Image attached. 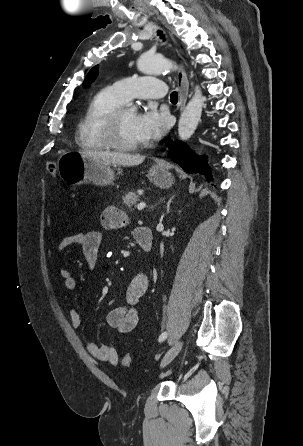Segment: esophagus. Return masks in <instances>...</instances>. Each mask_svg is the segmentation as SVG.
<instances>
[{"label":"esophagus","instance_id":"esophagus-1","mask_svg":"<svg viewBox=\"0 0 303 446\" xmlns=\"http://www.w3.org/2000/svg\"><path fill=\"white\" fill-rule=\"evenodd\" d=\"M169 33L172 40L176 43L173 34L171 32ZM177 84L179 88V106H180V111L182 112L186 105L188 90H189V82L186 73L183 69V66H180L179 71L177 73Z\"/></svg>","mask_w":303,"mask_h":446}]
</instances>
